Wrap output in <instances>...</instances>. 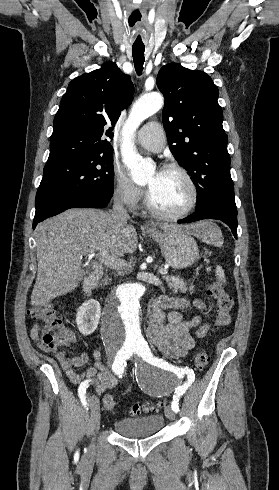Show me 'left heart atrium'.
<instances>
[{
  "mask_svg": "<svg viewBox=\"0 0 279 490\" xmlns=\"http://www.w3.org/2000/svg\"><path fill=\"white\" fill-rule=\"evenodd\" d=\"M161 171H157L153 177L151 184H149V193H151V189L158 183L160 179Z\"/></svg>",
  "mask_w": 279,
  "mask_h": 490,
  "instance_id": "1",
  "label": "left heart atrium"
}]
</instances>
